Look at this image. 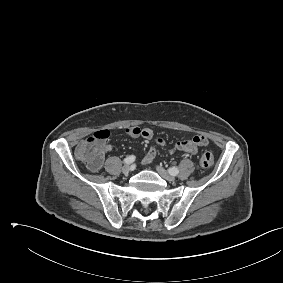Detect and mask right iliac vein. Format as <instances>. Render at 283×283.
Listing matches in <instances>:
<instances>
[{
	"label": "right iliac vein",
	"instance_id": "right-iliac-vein-1",
	"mask_svg": "<svg viewBox=\"0 0 283 283\" xmlns=\"http://www.w3.org/2000/svg\"><path fill=\"white\" fill-rule=\"evenodd\" d=\"M131 171V166L129 164H125L123 167H122V173L124 175H128Z\"/></svg>",
	"mask_w": 283,
	"mask_h": 283
}]
</instances>
